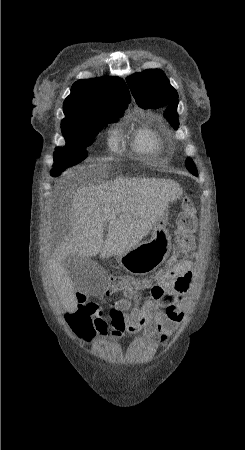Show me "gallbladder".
<instances>
[{
  "instance_id": "obj_1",
  "label": "gallbladder",
  "mask_w": 245,
  "mask_h": 450,
  "mask_svg": "<svg viewBox=\"0 0 245 450\" xmlns=\"http://www.w3.org/2000/svg\"><path fill=\"white\" fill-rule=\"evenodd\" d=\"M90 263L89 258L72 257L66 262V268L71 279L77 281Z\"/></svg>"
}]
</instances>
